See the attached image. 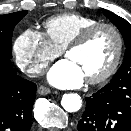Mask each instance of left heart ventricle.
I'll list each match as a JSON object with an SVG mask.
<instances>
[{
    "mask_svg": "<svg viewBox=\"0 0 131 131\" xmlns=\"http://www.w3.org/2000/svg\"><path fill=\"white\" fill-rule=\"evenodd\" d=\"M116 48L115 34L104 28L97 31L84 46L69 52L66 58L75 63L88 79L98 76L109 67Z\"/></svg>",
    "mask_w": 131,
    "mask_h": 131,
    "instance_id": "obj_1",
    "label": "left heart ventricle"
}]
</instances>
